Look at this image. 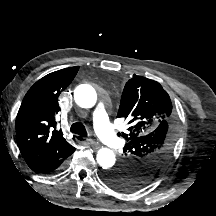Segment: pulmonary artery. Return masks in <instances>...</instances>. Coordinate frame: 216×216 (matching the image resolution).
I'll list each match as a JSON object with an SVG mask.
<instances>
[{"label": "pulmonary artery", "instance_id": "obj_1", "mask_svg": "<svg viewBox=\"0 0 216 216\" xmlns=\"http://www.w3.org/2000/svg\"><path fill=\"white\" fill-rule=\"evenodd\" d=\"M93 124L96 135L105 145L115 149L124 146V140L116 134L102 102L97 104L93 112Z\"/></svg>", "mask_w": 216, "mask_h": 216}]
</instances>
